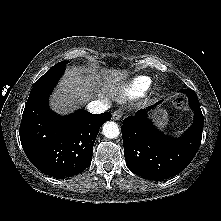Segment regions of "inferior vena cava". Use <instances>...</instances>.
Segmentation results:
<instances>
[{
	"label": "inferior vena cava",
	"instance_id": "obj_1",
	"mask_svg": "<svg viewBox=\"0 0 221 221\" xmlns=\"http://www.w3.org/2000/svg\"><path fill=\"white\" fill-rule=\"evenodd\" d=\"M88 111L93 114H100L107 111L110 108V102L103 100H96L88 103L86 106Z\"/></svg>",
	"mask_w": 221,
	"mask_h": 221
}]
</instances>
